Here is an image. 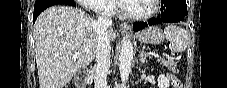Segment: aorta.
Instances as JSON below:
<instances>
[{"label": "aorta", "instance_id": "obj_1", "mask_svg": "<svg viewBox=\"0 0 227 88\" xmlns=\"http://www.w3.org/2000/svg\"><path fill=\"white\" fill-rule=\"evenodd\" d=\"M133 60V44L130 40L123 42L119 55V70L122 82L128 80Z\"/></svg>", "mask_w": 227, "mask_h": 88}]
</instances>
